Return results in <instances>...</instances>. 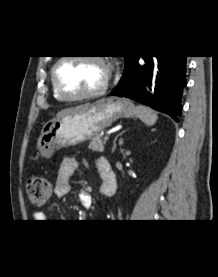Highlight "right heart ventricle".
I'll return each mask as SVG.
<instances>
[{
    "label": "right heart ventricle",
    "mask_w": 218,
    "mask_h": 277,
    "mask_svg": "<svg viewBox=\"0 0 218 277\" xmlns=\"http://www.w3.org/2000/svg\"><path fill=\"white\" fill-rule=\"evenodd\" d=\"M52 91H53V96H54L55 99H57L59 101H63V99L56 93L54 87H52Z\"/></svg>",
    "instance_id": "1"
}]
</instances>
